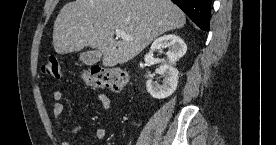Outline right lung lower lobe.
Wrapping results in <instances>:
<instances>
[{
  "label": "right lung lower lobe",
  "instance_id": "98d812e1",
  "mask_svg": "<svg viewBox=\"0 0 276 145\" xmlns=\"http://www.w3.org/2000/svg\"><path fill=\"white\" fill-rule=\"evenodd\" d=\"M202 30L208 31L211 0H171Z\"/></svg>",
  "mask_w": 276,
  "mask_h": 145
}]
</instances>
